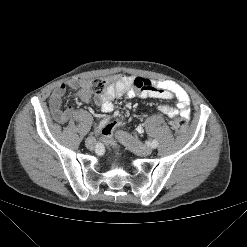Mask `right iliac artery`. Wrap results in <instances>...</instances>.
Wrapping results in <instances>:
<instances>
[{"instance_id": "right-iliac-artery-1", "label": "right iliac artery", "mask_w": 247, "mask_h": 247, "mask_svg": "<svg viewBox=\"0 0 247 247\" xmlns=\"http://www.w3.org/2000/svg\"><path fill=\"white\" fill-rule=\"evenodd\" d=\"M107 121V119H106ZM105 120H103L99 126V129H101V127L106 123ZM95 149L98 151V152H101L103 149H104V146L101 144V143H98L96 146H95Z\"/></svg>"}]
</instances>
